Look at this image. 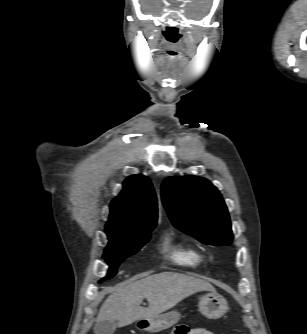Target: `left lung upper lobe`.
<instances>
[{"label": "left lung upper lobe", "mask_w": 307, "mask_h": 334, "mask_svg": "<svg viewBox=\"0 0 307 334\" xmlns=\"http://www.w3.org/2000/svg\"><path fill=\"white\" fill-rule=\"evenodd\" d=\"M161 196L173 225L179 230L208 245L224 246L232 242L227 207L207 179L193 175L170 177L162 184Z\"/></svg>", "instance_id": "left-lung-upper-lobe-1"}]
</instances>
